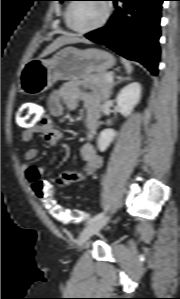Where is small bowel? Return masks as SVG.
<instances>
[{
    "label": "small bowel",
    "instance_id": "obj_1",
    "mask_svg": "<svg viewBox=\"0 0 180 299\" xmlns=\"http://www.w3.org/2000/svg\"><path fill=\"white\" fill-rule=\"evenodd\" d=\"M79 103H83L86 109L85 125L88 136L93 138L99 125L100 101L84 84L71 83L50 95L48 99L49 115L39 124L26 128L21 134V142L27 143L35 133H41L50 145L57 144L62 139V132L55 127L53 118L63 117L65 107L74 110ZM80 154L85 162L83 172L68 170L51 181L60 187H67L80 182L86 175H93L100 169L102 159L91 142L85 143L81 147ZM37 155L38 150L36 148H29L24 152V158L27 161L34 160ZM23 171L27 181L32 184L36 182L49 183L48 180L43 178L44 171L41 168L25 166Z\"/></svg>",
    "mask_w": 180,
    "mask_h": 299
}]
</instances>
